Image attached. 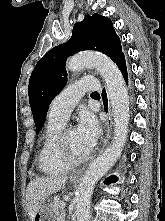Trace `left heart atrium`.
Instances as JSON below:
<instances>
[{
  "label": "left heart atrium",
  "mask_w": 165,
  "mask_h": 221,
  "mask_svg": "<svg viewBox=\"0 0 165 221\" xmlns=\"http://www.w3.org/2000/svg\"><path fill=\"white\" fill-rule=\"evenodd\" d=\"M77 133L81 141L91 149L100 134V128L96 117L88 112L83 111L78 120Z\"/></svg>",
  "instance_id": "obj_1"
}]
</instances>
